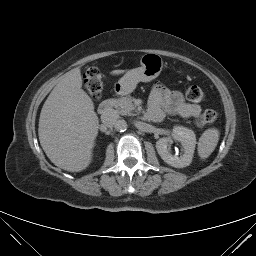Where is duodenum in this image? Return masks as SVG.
Masks as SVG:
<instances>
[{
	"label": "duodenum",
	"mask_w": 256,
	"mask_h": 256,
	"mask_svg": "<svg viewBox=\"0 0 256 256\" xmlns=\"http://www.w3.org/2000/svg\"><path fill=\"white\" fill-rule=\"evenodd\" d=\"M113 100L112 99H106L98 107V112L100 114H107L111 108H112Z\"/></svg>",
	"instance_id": "obj_1"
}]
</instances>
